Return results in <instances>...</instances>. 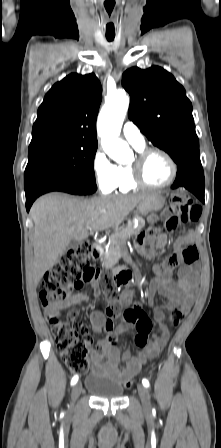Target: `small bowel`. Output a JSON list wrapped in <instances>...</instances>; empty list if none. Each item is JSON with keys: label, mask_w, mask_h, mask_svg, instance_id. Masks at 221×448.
<instances>
[{"label": "small bowel", "mask_w": 221, "mask_h": 448, "mask_svg": "<svg viewBox=\"0 0 221 448\" xmlns=\"http://www.w3.org/2000/svg\"><path fill=\"white\" fill-rule=\"evenodd\" d=\"M152 226L147 236L143 235L136 241V246L141 251H152V247L162 249L167 244V235L162 232L156 225V218L151 219ZM190 241L189 236L185 235L178 239L176 252L154 265L153 271L155 276L150 282L148 291L149 305L153 306V296L159 293L168 299L166 306L154 307V319L157 322L160 334H154L149 345L138 351L136 355H132L129 350L120 355L117 344V337L121 336L127 330L135 327V325L127 320L125 312L122 313V322L115 329L114 336L99 343L98 347L90 352L92 367L95 371H105L114 375L119 381H125L134 375L148 359L156 357L158 352L166 345L169 340V327L165 321L168 320L171 325L170 312L173 309L181 311L184 315L190 310L198 284L199 274L197 266L194 264H185L181 262L180 250ZM180 265L179 276L176 281L171 279V273ZM95 295L100 294V286L98 281L92 283ZM89 301L88 295L84 293H76L71 295L66 301L58 306L46 308L48 315L50 311L60 312L63 309L85 303ZM119 307L116 308L112 302L105 311L94 310L90 313V323L93 331L97 334L110 333L112 329H108V317L115 318L121 315L123 306H131L130 308L140 309L138 302H133V293L131 290H125L120 299H118Z\"/></svg>", "instance_id": "small-bowel-1"}]
</instances>
